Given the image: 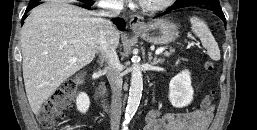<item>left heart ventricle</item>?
<instances>
[{
  "instance_id": "left-heart-ventricle-1",
  "label": "left heart ventricle",
  "mask_w": 257,
  "mask_h": 130,
  "mask_svg": "<svg viewBox=\"0 0 257 130\" xmlns=\"http://www.w3.org/2000/svg\"><path fill=\"white\" fill-rule=\"evenodd\" d=\"M161 0H144L143 2L145 3H149V4H155V3H158L160 2Z\"/></svg>"
}]
</instances>
